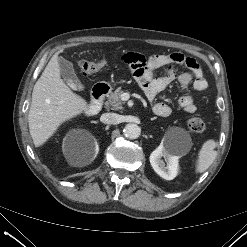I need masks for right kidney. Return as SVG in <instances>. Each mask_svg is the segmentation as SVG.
I'll return each mask as SVG.
<instances>
[{
  "instance_id": "obj_1",
  "label": "right kidney",
  "mask_w": 247,
  "mask_h": 247,
  "mask_svg": "<svg viewBox=\"0 0 247 247\" xmlns=\"http://www.w3.org/2000/svg\"><path fill=\"white\" fill-rule=\"evenodd\" d=\"M93 145H94V157L98 154L99 152V145L95 139H93Z\"/></svg>"
}]
</instances>
